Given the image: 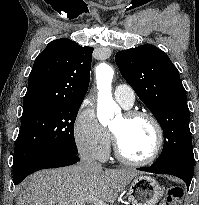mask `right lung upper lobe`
I'll return each instance as SVG.
<instances>
[{
  "label": "right lung upper lobe",
  "mask_w": 199,
  "mask_h": 205,
  "mask_svg": "<svg viewBox=\"0 0 199 205\" xmlns=\"http://www.w3.org/2000/svg\"><path fill=\"white\" fill-rule=\"evenodd\" d=\"M93 50L66 38L50 42L34 61L23 111L57 103H82L89 86Z\"/></svg>",
  "instance_id": "cb5924a9"
}]
</instances>
